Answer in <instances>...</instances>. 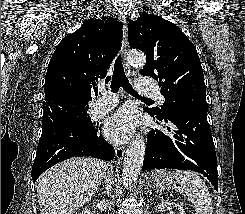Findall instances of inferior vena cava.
Listing matches in <instances>:
<instances>
[{"label":"inferior vena cava","mask_w":245,"mask_h":214,"mask_svg":"<svg viewBox=\"0 0 245 214\" xmlns=\"http://www.w3.org/2000/svg\"><path fill=\"white\" fill-rule=\"evenodd\" d=\"M105 181L107 183V186H106V191H107V194H109V190L111 188V184H113V178H112V174L111 172L108 171L107 175L105 176Z\"/></svg>","instance_id":"602c4592"}]
</instances>
